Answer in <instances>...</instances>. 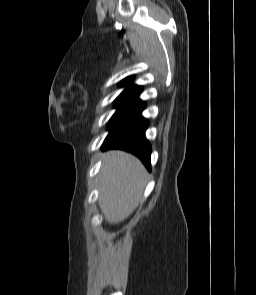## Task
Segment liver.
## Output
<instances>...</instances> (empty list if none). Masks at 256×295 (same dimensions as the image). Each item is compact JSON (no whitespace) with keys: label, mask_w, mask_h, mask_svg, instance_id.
<instances>
[{"label":"liver","mask_w":256,"mask_h":295,"mask_svg":"<svg viewBox=\"0 0 256 295\" xmlns=\"http://www.w3.org/2000/svg\"><path fill=\"white\" fill-rule=\"evenodd\" d=\"M146 179L147 171L135 156L120 150H111L104 155L99 205L107 222L119 223L132 214Z\"/></svg>","instance_id":"obj_1"}]
</instances>
